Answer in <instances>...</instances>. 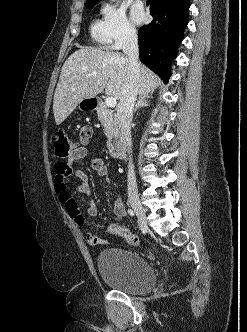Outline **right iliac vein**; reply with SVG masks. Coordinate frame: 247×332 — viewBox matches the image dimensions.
<instances>
[{"label":"right iliac vein","instance_id":"1","mask_svg":"<svg viewBox=\"0 0 247 332\" xmlns=\"http://www.w3.org/2000/svg\"><path fill=\"white\" fill-rule=\"evenodd\" d=\"M130 204H131L132 208L134 209V211L136 212V215H137L141 225L144 228H147V218H146V212H145L144 207L136 199L131 200Z\"/></svg>","mask_w":247,"mask_h":332}]
</instances>
